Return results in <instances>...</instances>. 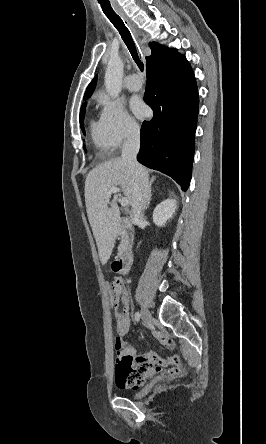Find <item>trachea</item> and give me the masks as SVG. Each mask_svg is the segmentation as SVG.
<instances>
[{
  "label": "trachea",
  "mask_w": 266,
  "mask_h": 444,
  "mask_svg": "<svg viewBox=\"0 0 266 444\" xmlns=\"http://www.w3.org/2000/svg\"><path fill=\"white\" fill-rule=\"evenodd\" d=\"M101 7L103 9L104 14L110 20V22L114 25V27L118 30L121 38L123 39L125 45L127 46L134 62L138 66V68L143 71L144 65L140 60L139 51L133 41L130 31L124 24L123 20L114 12L111 8L110 3H101Z\"/></svg>",
  "instance_id": "trachea-1"
}]
</instances>
